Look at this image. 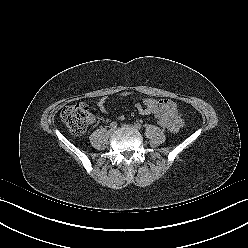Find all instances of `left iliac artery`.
<instances>
[{
  "label": "left iliac artery",
  "mask_w": 248,
  "mask_h": 248,
  "mask_svg": "<svg viewBox=\"0 0 248 248\" xmlns=\"http://www.w3.org/2000/svg\"><path fill=\"white\" fill-rule=\"evenodd\" d=\"M135 127H136L137 129H140V128L142 127V125H141L140 123H135Z\"/></svg>",
  "instance_id": "44dca946"
}]
</instances>
